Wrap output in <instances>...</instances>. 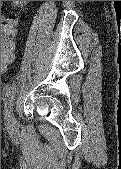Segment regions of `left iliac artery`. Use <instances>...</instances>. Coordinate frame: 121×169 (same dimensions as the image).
<instances>
[{
    "label": "left iliac artery",
    "instance_id": "1",
    "mask_svg": "<svg viewBox=\"0 0 121 169\" xmlns=\"http://www.w3.org/2000/svg\"><path fill=\"white\" fill-rule=\"evenodd\" d=\"M16 92H17V85L15 83H13L11 86H9V88L7 89V92H6L5 107H6V114L8 116L11 115V112L13 110Z\"/></svg>",
    "mask_w": 121,
    "mask_h": 169
}]
</instances>
